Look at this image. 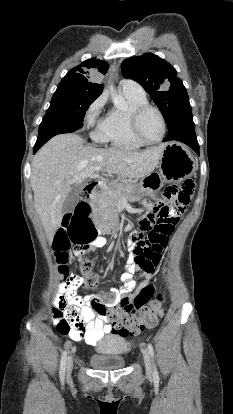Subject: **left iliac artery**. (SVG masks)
I'll return each instance as SVG.
<instances>
[{
    "label": "left iliac artery",
    "mask_w": 233,
    "mask_h": 414,
    "mask_svg": "<svg viewBox=\"0 0 233 414\" xmlns=\"http://www.w3.org/2000/svg\"><path fill=\"white\" fill-rule=\"evenodd\" d=\"M148 351H149L151 357L153 358L154 357V349H153V346L151 344H148ZM153 375H154V377L158 378V371H157V368H156L155 365H153Z\"/></svg>",
    "instance_id": "44dca946"
}]
</instances>
